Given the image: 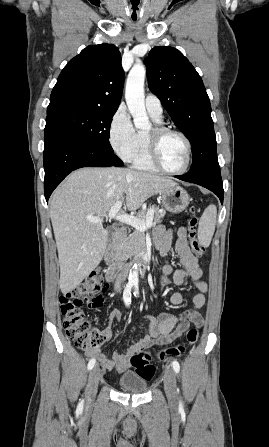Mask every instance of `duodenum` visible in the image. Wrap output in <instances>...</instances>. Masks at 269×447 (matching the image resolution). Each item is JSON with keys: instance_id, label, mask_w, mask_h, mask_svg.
Here are the masks:
<instances>
[{"instance_id": "1", "label": "duodenum", "mask_w": 269, "mask_h": 447, "mask_svg": "<svg viewBox=\"0 0 269 447\" xmlns=\"http://www.w3.org/2000/svg\"><path fill=\"white\" fill-rule=\"evenodd\" d=\"M125 234V229L124 228H118L115 233H114V237H113V241L111 243V245L109 246V248L106 251L105 254V268H104V272H105V277L107 279V281H113V282H120L122 280H124L125 278H127L128 273L123 269V267L115 262L114 260V253L116 250V247L118 245V243L121 241V239L123 238ZM147 255L145 252H141L138 258V261L140 263V268H139V272L140 274H144L147 270Z\"/></svg>"}]
</instances>
